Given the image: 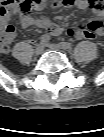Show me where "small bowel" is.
Returning <instances> with one entry per match:
<instances>
[{"label":"small bowel","mask_w":104,"mask_h":137,"mask_svg":"<svg viewBox=\"0 0 104 137\" xmlns=\"http://www.w3.org/2000/svg\"><path fill=\"white\" fill-rule=\"evenodd\" d=\"M47 0H28V4L30 8H40ZM53 4L56 6H75L78 9L81 10H91L95 16L96 19L91 21L89 24H91L94 21H100L103 16V6H102V0H53ZM11 9H17L16 7L12 5L5 4L1 10H0V23L2 26H7L9 24V11ZM21 25L23 27H29L35 24H39L41 26H47V22H42L34 18L32 15L28 13V11L23 12L21 11L20 16ZM102 23V22H101ZM73 31L72 35H75L76 38H87V39H94L97 36L101 35L102 28L100 29H91L84 25H79L74 29H70ZM54 33H62L63 29L61 27H56L53 29ZM15 30L12 34L6 36L1 42H0V49L3 52H8L10 49V44L15 38Z\"/></svg>","instance_id":"c3829d8e"}]
</instances>
